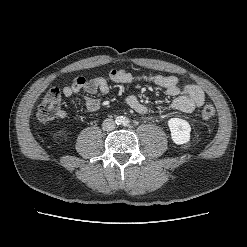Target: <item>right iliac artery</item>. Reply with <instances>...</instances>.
Returning <instances> with one entry per match:
<instances>
[{
    "instance_id": "1",
    "label": "right iliac artery",
    "mask_w": 247,
    "mask_h": 247,
    "mask_svg": "<svg viewBox=\"0 0 247 247\" xmlns=\"http://www.w3.org/2000/svg\"><path fill=\"white\" fill-rule=\"evenodd\" d=\"M123 121H122V118L121 117H117L116 118V124H121Z\"/></svg>"
}]
</instances>
